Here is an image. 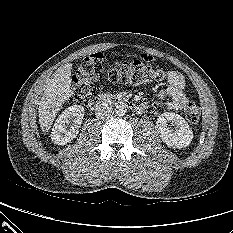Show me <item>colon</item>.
Segmentation results:
<instances>
[{
    "label": "colon",
    "instance_id": "obj_1",
    "mask_svg": "<svg viewBox=\"0 0 233 233\" xmlns=\"http://www.w3.org/2000/svg\"><path fill=\"white\" fill-rule=\"evenodd\" d=\"M165 72L157 66L142 61H109L104 54L97 52L88 55L79 65L72 78V97L76 102H83L94 91V81L105 78L113 83L144 84L162 81ZM186 120L196 124L200 119V110L196 104L189 102L184 109Z\"/></svg>",
    "mask_w": 233,
    "mask_h": 233
}]
</instances>
